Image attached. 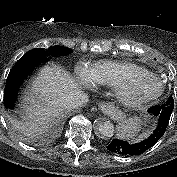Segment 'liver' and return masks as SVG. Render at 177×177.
I'll list each match as a JSON object with an SVG mask.
<instances>
[{
    "label": "liver",
    "instance_id": "liver-1",
    "mask_svg": "<svg viewBox=\"0 0 177 177\" xmlns=\"http://www.w3.org/2000/svg\"><path fill=\"white\" fill-rule=\"evenodd\" d=\"M78 90V84L58 66H44L31 81L24 97L27 121L22 127L36 134L44 131L51 122L61 116L60 100L66 94Z\"/></svg>",
    "mask_w": 177,
    "mask_h": 177
}]
</instances>
